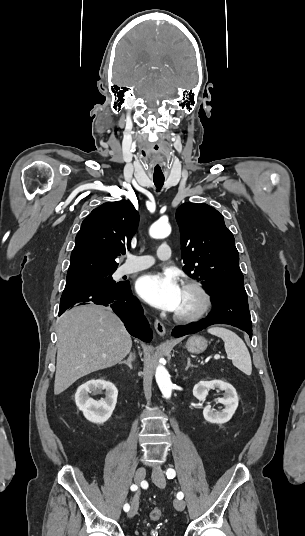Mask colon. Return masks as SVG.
I'll return each instance as SVG.
<instances>
[{"label": "colon", "instance_id": "colon-1", "mask_svg": "<svg viewBox=\"0 0 305 536\" xmlns=\"http://www.w3.org/2000/svg\"><path fill=\"white\" fill-rule=\"evenodd\" d=\"M161 516H162V509L160 507H154L149 513V517L152 520H158L161 518Z\"/></svg>", "mask_w": 305, "mask_h": 536}]
</instances>
